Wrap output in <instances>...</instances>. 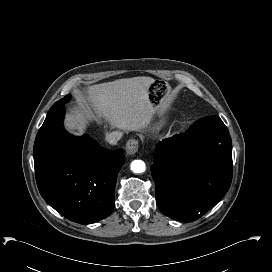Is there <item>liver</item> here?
Segmentation results:
<instances>
[{"label": "liver", "instance_id": "1", "mask_svg": "<svg viewBox=\"0 0 272 272\" xmlns=\"http://www.w3.org/2000/svg\"><path fill=\"white\" fill-rule=\"evenodd\" d=\"M154 79L133 77L88 87L87 100L95 113L105 117L112 128L138 131L150 123L154 109L148 99V87ZM69 129L79 128L71 117Z\"/></svg>", "mask_w": 272, "mask_h": 272}]
</instances>
